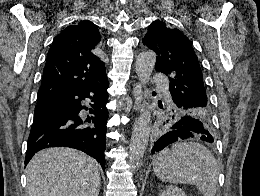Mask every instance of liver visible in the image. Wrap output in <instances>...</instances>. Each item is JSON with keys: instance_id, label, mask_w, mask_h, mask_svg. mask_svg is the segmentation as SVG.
Instances as JSON below:
<instances>
[{"instance_id": "1", "label": "liver", "mask_w": 260, "mask_h": 196, "mask_svg": "<svg viewBox=\"0 0 260 196\" xmlns=\"http://www.w3.org/2000/svg\"><path fill=\"white\" fill-rule=\"evenodd\" d=\"M26 172L28 196H98L100 192L96 160L72 148L37 152Z\"/></svg>"}]
</instances>
